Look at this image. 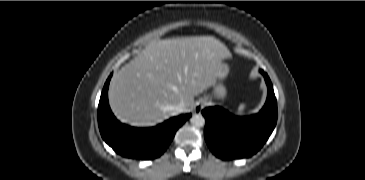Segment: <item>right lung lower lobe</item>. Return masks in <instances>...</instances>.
<instances>
[{
	"mask_svg": "<svg viewBox=\"0 0 365 180\" xmlns=\"http://www.w3.org/2000/svg\"><path fill=\"white\" fill-rule=\"evenodd\" d=\"M107 79L98 106V125L102 138L119 155L136 159L151 160L159 157L169 146L177 129L191 117V113L173 117L151 128H135L120 123L113 115L108 103Z\"/></svg>",
	"mask_w": 365,
	"mask_h": 180,
	"instance_id": "obj_1",
	"label": "right lung lower lobe"
}]
</instances>
